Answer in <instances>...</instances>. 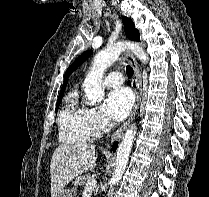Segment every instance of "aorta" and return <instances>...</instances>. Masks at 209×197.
I'll use <instances>...</instances> for the list:
<instances>
[{"mask_svg":"<svg viewBox=\"0 0 209 197\" xmlns=\"http://www.w3.org/2000/svg\"><path fill=\"white\" fill-rule=\"evenodd\" d=\"M126 49L131 50L143 63L148 61V55L145 53L142 46L133 42H117L107 46L103 51L98 52L93 59L90 72L83 83L85 94L90 105H94L103 99L104 89L101 82L104 71L114 63L119 55ZM135 134L136 127L132 125L126 130L118 146L116 152V167L114 175L110 180L111 186L117 185L122 178L129 160ZM112 191L113 187H111L109 195H112Z\"/></svg>","mask_w":209,"mask_h":197,"instance_id":"762f6f07","label":"aorta"}]
</instances>
